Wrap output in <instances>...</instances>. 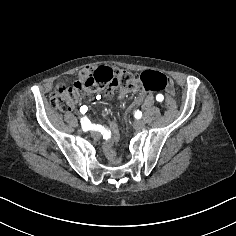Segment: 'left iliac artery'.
<instances>
[{
  "instance_id": "1",
  "label": "left iliac artery",
  "mask_w": 236,
  "mask_h": 236,
  "mask_svg": "<svg viewBox=\"0 0 236 236\" xmlns=\"http://www.w3.org/2000/svg\"><path fill=\"white\" fill-rule=\"evenodd\" d=\"M163 99H164V97H163L162 94H158V95L156 96V100L159 101V102H162Z\"/></svg>"
}]
</instances>
